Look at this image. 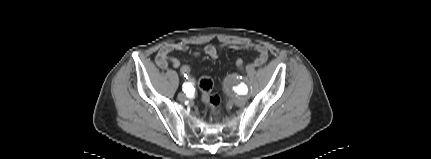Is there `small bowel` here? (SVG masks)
Segmentation results:
<instances>
[{
    "instance_id": "small-bowel-1",
    "label": "small bowel",
    "mask_w": 431,
    "mask_h": 159,
    "mask_svg": "<svg viewBox=\"0 0 431 159\" xmlns=\"http://www.w3.org/2000/svg\"><path fill=\"white\" fill-rule=\"evenodd\" d=\"M230 48L240 50H253L257 52V57L251 63L246 65L247 69L259 67L263 65L268 59L267 49L259 44L243 43L238 45H232L230 46ZM187 50L188 45L184 42L166 44L158 51L156 55V63L162 68H166L169 64H171L174 68H180V61L177 58L172 57L170 53L173 51L185 52ZM218 51L219 48L214 45H207L205 47V53L211 58H216L218 56Z\"/></svg>"
}]
</instances>
